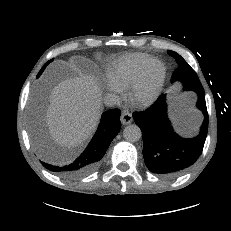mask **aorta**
<instances>
[{"label": "aorta", "instance_id": "762f6f07", "mask_svg": "<svg viewBox=\"0 0 231 231\" xmlns=\"http://www.w3.org/2000/svg\"><path fill=\"white\" fill-rule=\"evenodd\" d=\"M142 136L141 129L136 124H130L125 127L123 137L128 142H137Z\"/></svg>", "mask_w": 231, "mask_h": 231}]
</instances>
